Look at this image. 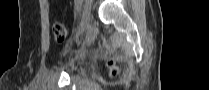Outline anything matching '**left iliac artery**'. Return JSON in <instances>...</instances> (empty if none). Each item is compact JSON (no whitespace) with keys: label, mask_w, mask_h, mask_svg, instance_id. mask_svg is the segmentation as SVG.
<instances>
[{"label":"left iliac artery","mask_w":209,"mask_h":90,"mask_svg":"<svg viewBox=\"0 0 209 90\" xmlns=\"http://www.w3.org/2000/svg\"><path fill=\"white\" fill-rule=\"evenodd\" d=\"M83 3H84L83 0H76L75 1L76 14H81V10H82Z\"/></svg>","instance_id":"1"}]
</instances>
